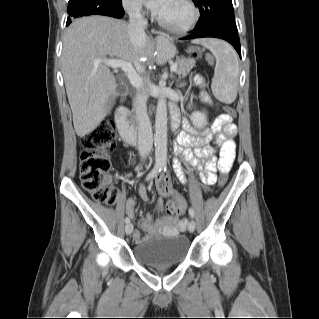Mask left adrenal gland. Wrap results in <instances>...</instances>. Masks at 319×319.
<instances>
[{"instance_id": "1", "label": "left adrenal gland", "mask_w": 319, "mask_h": 319, "mask_svg": "<svg viewBox=\"0 0 319 319\" xmlns=\"http://www.w3.org/2000/svg\"><path fill=\"white\" fill-rule=\"evenodd\" d=\"M186 84L185 83H182V84H180L178 87H184Z\"/></svg>"}]
</instances>
